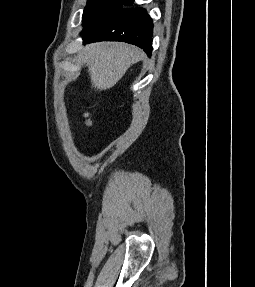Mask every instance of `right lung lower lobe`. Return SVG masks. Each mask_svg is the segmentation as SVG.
<instances>
[{
	"label": "right lung lower lobe",
	"mask_w": 255,
	"mask_h": 287,
	"mask_svg": "<svg viewBox=\"0 0 255 287\" xmlns=\"http://www.w3.org/2000/svg\"><path fill=\"white\" fill-rule=\"evenodd\" d=\"M153 23L145 9L122 8L81 33L84 44L95 41H123L152 52Z\"/></svg>",
	"instance_id": "right-lung-lower-lobe-1"
}]
</instances>
